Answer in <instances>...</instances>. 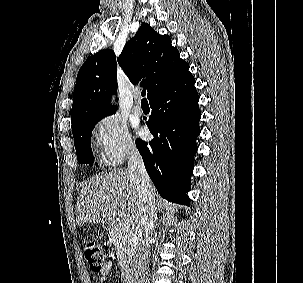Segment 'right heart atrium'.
Masks as SVG:
<instances>
[{"instance_id":"1","label":"right heart atrium","mask_w":303,"mask_h":283,"mask_svg":"<svg viewBox=\"0 0 303 283\" xmlns=\"http://www.w3.org/2000/svg\"><path fill=\"white\" fill-rule=\"evenodd\" d=\"M93 135L101 156L110 165L121 164L137 150L128 126L117 116L101 118L93 128Z\"/></svg>"}]
</instances>
